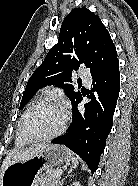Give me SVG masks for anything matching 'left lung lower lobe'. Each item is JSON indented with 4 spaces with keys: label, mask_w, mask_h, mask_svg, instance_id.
Masks as SVG:
<instances>
[{
    "label": "left lung lower lobe",
    "mask_w": 138,
    "mask_h": 186,
    "mask_svg": "<svg viewBox=\"0 0 138 186\" xmlns=\"http://www.w3.org/2000/svg\"><path fill=\"white\" fill-rule=\"evenodd\" d=\"M92 78L93 88L87 91V98L91 100L84 104V113H80L77 108L78 103L82 100L80 93L72 103L73 120L68 132L53 139L52 142L64 144L78 154L94 173L112 128V117L119 96L118 59L92 75Z\"/></svg>",
    "instance_id": "left-lung-lower-lobe-1"
}]
</instances>
